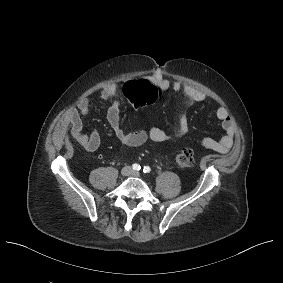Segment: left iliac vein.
I'll return each mask as SVG.
<instances>
[{
  "mask_svg": "<svg viewBox=\"0 0 283 283\" xmlns=\"http://www.w3.org/2000/svg\"><path fill=\"white\" fill-rule=\"evenodd\" d=\"M131 175L132 176H134V177H140V173L139 172H135V171H133L132 173H131Z\"/></svg>",
  "mask_w": 283,
  "mask_h": 283,
  "instance_id": "obj_1",
  "label": "left iliac vein"
}]
</instances>
